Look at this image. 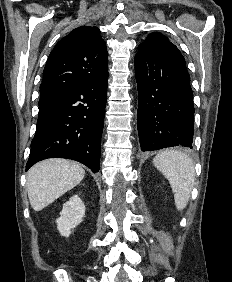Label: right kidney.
<instances>
[{"instance_id":"ca27d5eb","label":"right kidney","mask_w":232,"mask_h":282,"mask_svg":"<svg viewBox=\"0 0 232 282\" xmlns=\"http://www.w3.org/2000/svg\"><path fill=\"white\" fill-rule=\"evenodd\" d=\"M85 215V205L78 195L72 196L63 204L60 217L57 219V228L62 236L68 237Z\"/></svg>"}]
</instances>
